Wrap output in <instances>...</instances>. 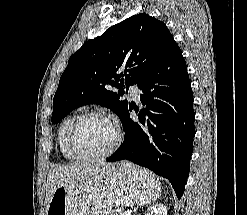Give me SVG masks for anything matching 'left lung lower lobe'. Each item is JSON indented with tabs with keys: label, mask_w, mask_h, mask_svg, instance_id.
Wrapping results in <instances>:
<instances>
[{
	"label": "left lung lower lobe",
	"mask_w": 247,
	"mask_h": 215,
	"mask_svg": "<svg viewBox=\"0 0 247 215\" xmlns=\"http://www.w3.org/2000/svg\"><path fill=\"white\" fill-rule=\"evenodd\" d=\"M137 85L143 92L140 123L130 118L129 107L121 119L124 142L107 161L149 168L167 178L180 199L189 176L195 114L187 66L173 38Z\"/></svg>",
	"instance_id": "obj_1"
}]
</instances>
